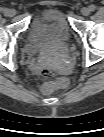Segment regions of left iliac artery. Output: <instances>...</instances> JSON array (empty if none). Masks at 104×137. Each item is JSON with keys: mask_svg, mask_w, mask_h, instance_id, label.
Segmentation results:
<instances>
[{"mask_svg": "<svg viewBox=\"0 0 104 137\" xmlns=\"http://www.w3.org/2000/svg\"><path fill=\"white\" fill-rule=\"evenodd\" d=\"M89 8L91 11H94L96 7H95V5H90Z\"/></svg>", "mask_w": 104, "mask_h": 137, "instance_id": "left-iliac-artery-1", "label": "left iliac artery"}]
</instances>
